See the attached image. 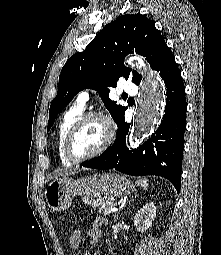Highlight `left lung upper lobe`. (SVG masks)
Instances as JSON below:
<instances>
[{"label":"left lung upper lobe","mask_w":221,"mask_h":255,"mask_svg":"<svg viewBox=\"0 0 221 255\" xmlns=\"http://www.w3.org/2000/svg\"><path fill=\"white\" fill-rule=\"evenodd\" d=\"M167 46L154 23L140 13L121 15L107 24L87 45L83 52L73 55L63 66L59 76L57 96L51 102L47 131L58 113L73 97L86 88L100 93L105 107L116 123L126 107L109 99V88L116 87L119 77L132 78L139 85L142 76L123 65L126 55L136 52L149 62L151 68Z\"/></svg>","instance_id":"left-lung-upper-lobe-1"}]
</instances>
